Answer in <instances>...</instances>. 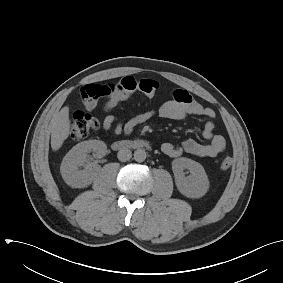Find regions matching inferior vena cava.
<instances>
[{
    "label": "inferior vena cava",
    "instance_id": "1",
    "mask_svg": "<svg viewBox=\"0 0 283 283\" xmlns=\"http://www.w3.org/2000/svg\"><path fill=\"white\" fill-rule=\"evenodd\" d=\"M117 157L120 161L125 162L131 159L132 152L127 148H122L118 151Z\"/></svg>",
    "mask_w": 283,
    "mask_h": 283
}]
</instances>
